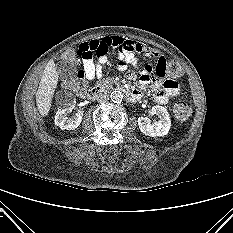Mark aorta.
Segmentation results:
<instances>
[{
	"instance_id": "762f6f07",
	"label": "aorta",
	"mask_w": 233,
	"mask_h": 233,
	"mask_svg": "<svg viewBox=\"0 0 233 233\" xmlns=\"http://www.w3.org/2000/svg\"><path fill=\"white\" fill-rule=\"evenodd\" d=\"M111 101L114 103H121L123 100V94L120 91H113L110 95Z\"/></svg>"
}]
</instances>
